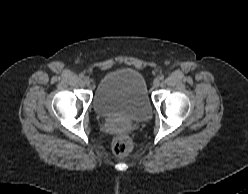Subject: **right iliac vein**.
<instances>
[{
    "instance_id": "right-iliac-vein-1",
    "label": "right iliac vein",
    "mask_w": 248,
    "mask_h": 194,
    "mask_svg": "<svg viewBox=\"0 0 248 194\" xmlns=\"http://www.w3.org/2000/svg\"><path fill=\"white\" fill-rule=\"evenodd\" d=\"M83 81H84L85 84H89V83H90V80H89V78H87V77H85V78L83 79Z\"/></svg>"
}]
</instances>
